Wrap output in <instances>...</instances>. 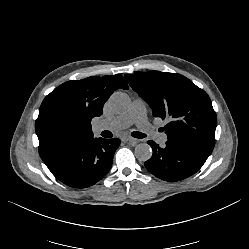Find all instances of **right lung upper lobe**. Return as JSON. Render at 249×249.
Masks as SVG:
<instances>
[{"label":"right lung upper lobe","mask_w":249,"mask_h":249,"mask_svg":"<svg viewBox=\"0 0 249 249\" xmlns=\"http://www.w3.org/2000/svg\"><path fill=\"white\" fill-rule=\"evenodd\" d=\"M128 89L120 74L65 82L43 100L35 122L39 154L43 159L71 142L93 138L91 120L103 113L111 94Z\"/></svg>","instance_id":"1"}]
</instances>
